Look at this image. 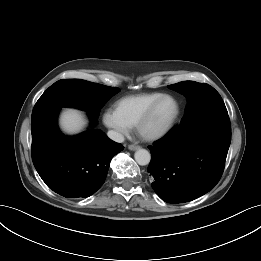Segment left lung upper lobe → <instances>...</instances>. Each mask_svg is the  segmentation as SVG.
I'll list each match as a JSON object with an SVG mask.
<instances>
[{
    "label": "left lung upper lobe",
    "mask_w": 261,
    "mask_h": 261,
    "mask_svg": "<svg viewBox=\"0 0 261 261\" xmlns=\"http://www.w3.org/2000/svg\"><path fill=\"white\" fill-rule=\"evenodd\" d=\"M168 87L187 98L185 115L180 125H186L202 117L228 114L221 96L208 84L183 81Z\"/></svg>",
    "instance_id": "left-lung-upper-lobe-1"
}]
</instances>
